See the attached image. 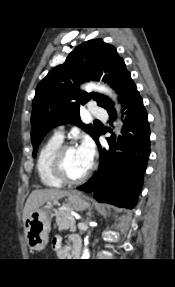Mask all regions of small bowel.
I'll list each match as a JSON object with an SVG mask.
<instances>
[{
  "instance_id": "1",
  "label": "small bowel",
  "mask_w": 175,
  "mask_h": 287,
  "mask_svg": "<svg viewBox=\"0 0 175 287\" xmlns=\"http://www.w3.org/2000/svg\"><path fill=\"white\" fill-rule=\"evenodd\" d=\"M81 246V240L78 236L73 235L69 238L67 244H63L62 238L56 236L52 240V248L56 252V255L60 259H67L71 256V247L78 250Z\"/></svg>"
}]
</instances>
